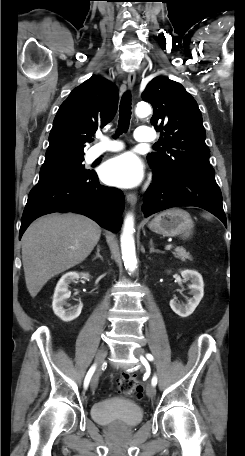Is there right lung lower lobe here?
Instances as JSON below:
<instances>
[{
	"instance_id": "right-lung-lower-lobe-1",
	"label": "right lung lower lobe",
	"mask_w": 245,
	"mask_h": 456,
	"mask_svg": "<svg viewBox=\"0 0 245 456\" xmlns=\"http://www.w3.org/2000/svg\"><path fill=\"white\" fill-rule=\"evenodd\" d=\"M123 209V193L100 185L95 172L77 178L38 183L29 193L19 239L33 220L53 212L83 214L100 226L118 232Z\"/></svg>"
}]
</instances>
